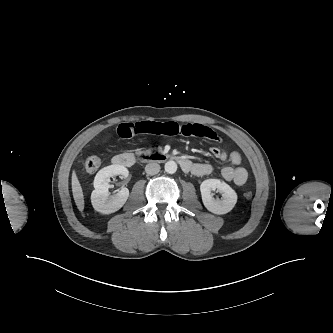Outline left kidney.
I'll use <instances>...</instances> for the list:
<instances>
[{"label":"left kidney","mask_w":333,"mask_h":333,"mask_svg":"<svg viewBox=\"0 0 333 333\" xmlns=\"http://www.w3.org/2000/svg\"><path fill=\"white\" fill-rule=\"evenodd\" d=\"M217 189L222 194L221 199H215L212 191ZM202 202L206 209L214 214L223 215L230 212L237 202L236 192L219 179H207L200 185Z\"/></svg>","instance_id":"obj_1"}]
</instances>
